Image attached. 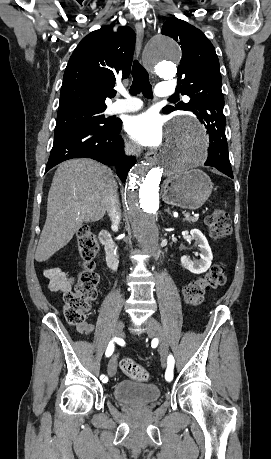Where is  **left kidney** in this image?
<instances>
[{"label": "left kidney", "instance_id": "1", "mask_svg": "<svg viewBox=\"0 0 271 459\" xmlns=\"http://www.w3.org/2000/svg\"><path fill=\"white\" fill-rule=\"evenodd\" d=\"M191 237H195L196 241L199 243L200 251V259H190L188 255H182L181 263L192 271V273H203V271H207L208 267L211 265V261L213 259L211 247L202 231L200 229H191L190 231Z\"/></svg>", "mask_w": 271, "mask_h": 459}]
</instances>
